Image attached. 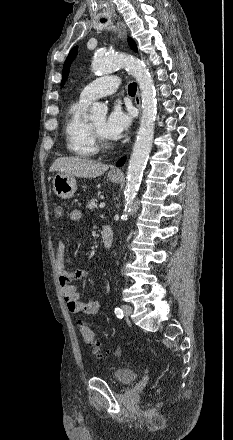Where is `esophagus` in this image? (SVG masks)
Listing matches in <instances>:
<instances>
[{
  "instance_id": "34e87169",
  "label": "esophagus",
  "mask_w": 233,
  "mask_h": 440,
  "mask_svg": "<svg viewBox=\"0 0 233 440\" xmlns=\"http://www.w3.org/2000/svg\"><path fill=\"white\" fill-rule=\"evenodd\" d=\"M117 27H118L122 37L125 38L126 35H127V30H126V27H125L124 23L121 22L120 20H117ZM135 104H136L137 108L139 109V112L141 113V100H140V91H139V89H137V93H136V96H135ZM111 172L112 173H116V174H121V171H120L119 168H113L111 170Z\"/></svg>"
}]
</instances>
